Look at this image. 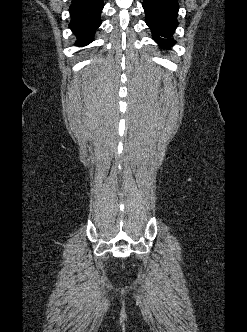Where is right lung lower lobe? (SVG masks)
I'll return each mask as SVG.
<instances>
[{"label": "right lung lower lobe", "mask_w": 247, "mask_h": 332, "mask_svg": "<svg viewBox=\"0 0 247 332\" xmlns=\"http://www.w3.org/2000/svg\"><path fill=\"white\" fill-rule=\"evenodd\" d=\"M103 7V0H72L69 7V27L77 37L76 46H85L93 41L94 34L101 25Z\"/></svg>", "instance_id": "obj_1"}]
</instances>
